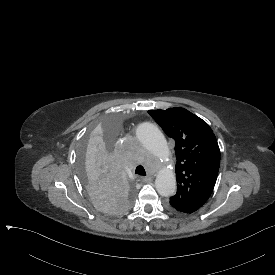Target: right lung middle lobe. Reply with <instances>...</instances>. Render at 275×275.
<instances>
[{
    "instance_id": "1",
    "label": "right lung middle lobe",
    "mask_w": 275,
    "mask_h": 275,
    "mask_svg": "<svg viewBox=\"0 0 275 275\" xmlns=\"http://www.w3.org/2000/svg\"><path fill=\"white\" fill-rule=\"evenodd\" d=\"M121 125L122 120L117 113H105L85 133L79 147V179L94 205L109 215L125 212L135 193L112 148Z\"/></svg>"
}]
</instances>
